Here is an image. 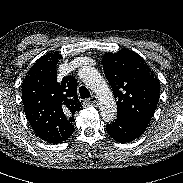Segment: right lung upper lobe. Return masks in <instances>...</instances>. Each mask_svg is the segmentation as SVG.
<instances>
[{"label":"right lung upper lobe","mask_w":183,"mask_h":183,"mask_svg":"<svg viewBox=\"0 0 183 183\" xmlns=\"http://www.w3.org/2000/svg\"><path fill=\"white\" fill-rule=\"evenodd\" d=\"M59 52L39 58L22 84L27 119L36 134L49 143L66 141L74 131V113L82 109L74 77L57 78Z\"/></svg>","instance_id":"obj_1"}]
</instances>
